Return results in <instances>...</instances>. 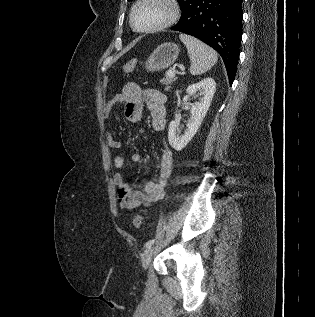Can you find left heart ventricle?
Here are the masks:
<instances>
[{
    "mask_svg": "<svg viewBox=\"0 0 315 317\" xmlns=\"http://www.w3.org/2000/svg\"><path fill=\"white\" fill-rule=\"evenodd\" d=\"M169 15V7L161 0H147L134 13V23L138 28H148L164 21Z\"/></svg>",
    "mask_w": 315,
    "mask_h": 317,
    "instance_id": "obj_1",
    "label": "left heart ventricle"
}]
</instances>
